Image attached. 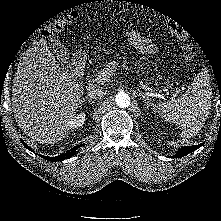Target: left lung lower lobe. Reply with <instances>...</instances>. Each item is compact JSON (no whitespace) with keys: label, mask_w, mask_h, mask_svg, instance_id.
Listing matches in <instances>:
<instances>
[{"label":"left lung lower lobe","mask_w":221,"mask_h":221,"mask_svg":"<svg viewBox=\"0 0 221 221\" xmlns=\"http://www.w3.org/2000/svg\"><path fill=\"white\" fill-rule=\"evenodd\" d=\"M204 143L199 144V145H194V146H185L182 147L177 151V153L174 156H171V158H181L186 156L187 154L194 152L197 150L199 147H201Z\"/></svg>","instance_id":"0a47b994"}]
</instances>
